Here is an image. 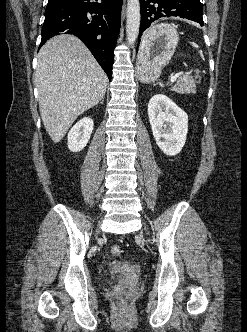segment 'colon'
I'll return each mask as SVG.
<instances>
[{
  "label": "colon",
  "mask_w": 247,
  "mask_h": 332,
  "mask_svg": "<svg viewBox=\"0 0 247 332\" xmlns=\"http://www.w3.org/2000/svg\"><path fill=\"white\" fill-rule=\"evenodd\" d=\"M111 254L116 257L120 256L122 254V248L119 245H113L111 247Z\"/></svg>",
  "instance_id": "1"
}]
</instances>
